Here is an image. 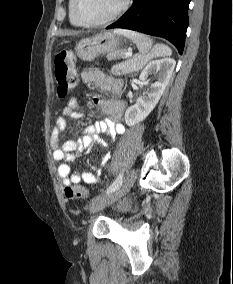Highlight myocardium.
<instances>
[{"instance_id":"1","label":"myocardium","mask_w":233,"mask_h":284,"mask_svg":"<svg viewBox=\"0 0 233 284\" xmlns=\"http://www.w3.org/2000/svg\"><path fill=\"white\" fill-rule=\"evenodd\" d=\"M79 3H80V0H74V3H73V13L76 19L82 25H85V26H101V25L108 24L118 19L126 11L128 4H129V0H122L121 5L113 14H111L107 18H104L102 20H97V21H90V20L85 19L80 13Z\"/></svg>"}]
</instances>
